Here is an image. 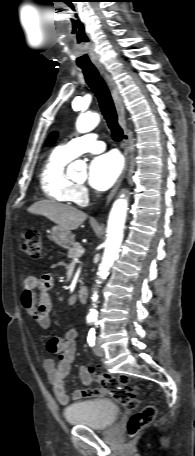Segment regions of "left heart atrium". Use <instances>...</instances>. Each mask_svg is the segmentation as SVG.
I'll return each instance as SVG.
<instances>
[{"label":"left heart atrium","mask_w":195,"mask_h":456,"mask_svg":"<svg viewBox=\"0 0 195 456\" xmlns=\"http://www.w3.org/2000/svg\"><path fill=\"white\" fill-rule=\"evenodd\" d=\"M122 161L115 152L96 156L89 164L88 181L97 190H107L118 178Z\"/></svg>","instance_id":"obj_1"}]
</instances>
